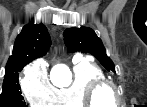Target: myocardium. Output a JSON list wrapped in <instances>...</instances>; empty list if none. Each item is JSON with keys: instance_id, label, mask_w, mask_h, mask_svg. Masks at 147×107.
<instances>
[{"instance_id": "obj_1", "label": "myocardium", "mask_w": 147, "mask_h": 107, "mask_svg": "<svg viewBox=\"0 0 147 107\" xmlns=\"http://www.w3.org/2000/svg\"><path fill=\"white\" fill-rule=\"evenodd\" d=\"M103 88H109L113 92L114 103L119 102V94L117 92L116 85L106 78H100L90 82L85 89L83 98L86 107H106L99 106L96 103V94Z\"/></svg>"}]
</instances>
